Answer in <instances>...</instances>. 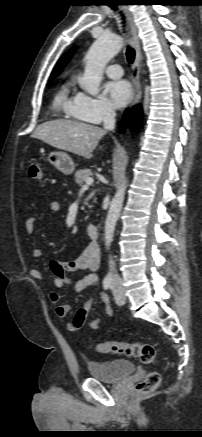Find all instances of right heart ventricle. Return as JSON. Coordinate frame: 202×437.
<instances>
[{"label": "right heart ventricle", "mask_w": 202, "mask_h": 437, "mask_svg": "<svg viewBox=\"0 0 202 437\" xmlns=\"http://www.w3.org/2000/svg\"><path fill=\"white\" fill-rule=\"evenodd\" d=\"M74 99L75 96L71 95V82H65L55 95L54 107L64 111L73 118L80 119L74 112Z\"/></svg>", "instance_id": "e07e8e85"}]
</instances>
